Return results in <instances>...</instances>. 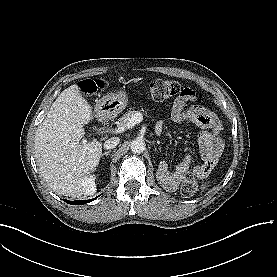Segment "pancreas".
Listing matches in <instances>:
<instances>
[{
	"mask_svg": "<svg viewBox=\"0 0 277 277\" xmlns=\"http://www.w3.org/2000/svg\"><path fill=\"white\" fill-rule=\"evenodd\" d=\"M137 111L135 110H129L127 113H125L121 118H119L117 126H124L127 124L128 120L135 114Z\"/></svg>",
	"mask_w": 277,
	"mask_h": 277,
	"instance_id": "cf45deb5",
	"label": "pancreas"
}]
</instances>
